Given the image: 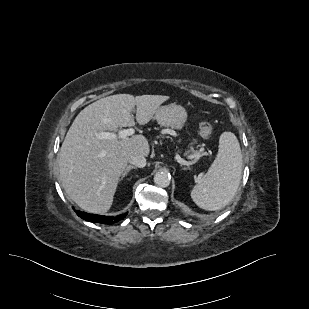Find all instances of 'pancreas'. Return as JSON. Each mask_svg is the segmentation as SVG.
<instances>
[{
	"label": "pancreas",
	"instance_id": "1",
	"mask_svg": "<svg viewBox=\"0 0 309 309\" xmlns=\"http://www.w3.org/2000/svg\"><path fill=\"white\" fill-rule=\"evenodd\" d=\"M190 152H192V153H196V152L194 151V149H193V148H190V150H189V151H187V152H186V154H188V153H190Z\"/></svg>",
	"mask_w": 309,
	"mask_h": 309
}]
</instances>
